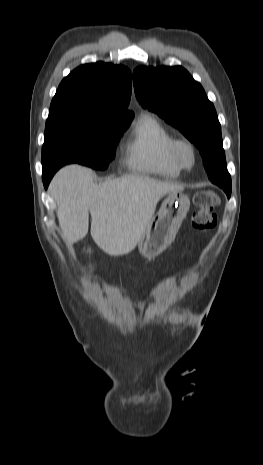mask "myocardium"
Segmentation results:
<instances>
[{
  "instance_id": "obj_1",
  "label": "myocardium",
  "mask_w": 263,
  "mask_h": 465,
  "mask_svg": "<svg viewBox=\"0 0 263 465\" xmlns=\"http://www.w3.org/2000/svg\"><path fill=\"white\" fill-rule=\"evenodd\" d=\"M186 148L190 152V161H186L182 155V150ZM171 157L181 169H191L197 161V150L194 143L187 138H177L172 141L170 147Z\"/></svg>"
}]
</instances>
